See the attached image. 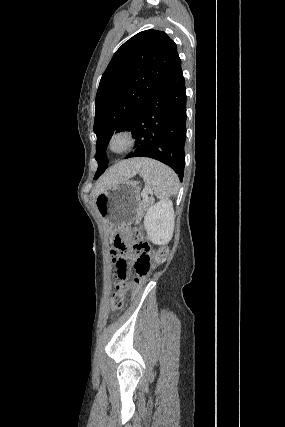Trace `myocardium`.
I'll return each mask as SVG.
<instances>
[{"label": "myocardium", "instance_id": "myocardium-1", "mask_svg": "<svg viewBox=\"0 0 285 427\" xmlns=\"http://www.w3.org/2000/svg\"><path fill=\"white\" fill-rule=\"evenodd\" d=\"M117 140H123L124 144L121 148H115L114 144ZM135 144L133 132L128 128H120L114 131L108 140V149L115 154H121L130 150Z\"/></svg>", "mask_w": 285, "mask_h": 427}]
</instances>
